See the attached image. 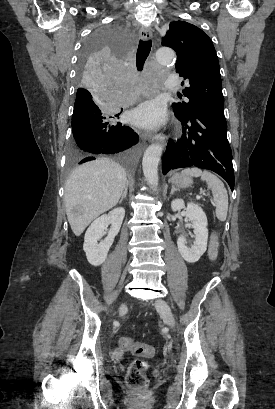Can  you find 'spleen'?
Wrapping results in <instances>:
<instances>
[{"instance_id":"1","label":"spleen","mask_w":275,"mask_h":409,"mask_svg":"<svg viewBox=\"0 0 275 409\" xmlns=\"http://www.w3.org/2000/svg\"><path fill=\"white\" fill-rule=\"evenodd\" d=\"M183 174L190 176H201L202 180H206L208 188H211L213 194L215 213L219 221H226L228 213V194L227 190L220 178L209 172V170H201V168H185Z\"/></svg>"}]
</instances>
